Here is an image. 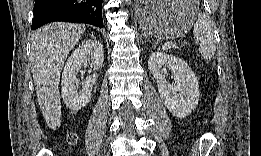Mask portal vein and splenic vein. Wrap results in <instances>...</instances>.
Masks as SVG:
<instances>
[{
    "instance_id": "portal-vein-and-splenic-vein-1",
    "label": "portal vein and splenic vein",
    "mask_w": 261,
    "mask_h": 156,
    "mask_svg": "<svg viewBox=\"0 0 261 156\" xmlns=\"http://www.w3.org/2000/svg\"><path fill=\"white\" fill-rule=\"evenodd\" d=\"M173 44V41H168L164 46L163 49L169 48Z\"/></svg>"
}]
</instances>
